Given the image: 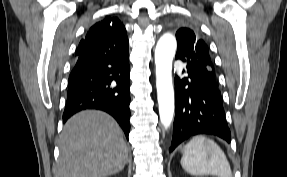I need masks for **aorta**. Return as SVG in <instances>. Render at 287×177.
<instances>
[{
    "label": "aorta",
    "instance_id": "obj_1",
    "mask_svg": "<svg viewBox=\"0 0 287 177\" xmlns=\"http://www.w3.org/2000/svg\"><path fill=\"white\" fill-rule=\"evenodd\" d=\"M177 42L172 34L160 37L155 48L156 87L159 116L165 129L169 128L174 116V90L172 85V62Z\"/></svg>",
    "mask_w": 287,
    "mask_h": 177
}]
</instances>
